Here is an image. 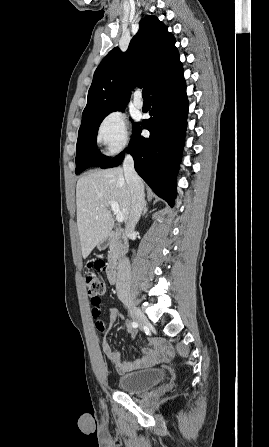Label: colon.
I'll list each match as a JSON object with an SVG mask.
<instances>
[{
  "label": "colon",
  "instance_id": "colon-1",
  "mask_svg": "<svg viewBox=\"0 0 269 447\" xmlns=\"http://www.w3.org/2000/svg\"><path fill=\"white\" fill-rule=\"evenodd\" d=\"M102 267H105V263L100 257H93L91 262L84 267L85 287L87 294L91 297L90 301L94 312L100 311L99 297L105 295L107 291L106 283L97 275ZM92 316L96 318L98 315L94 313ZM95 328L97 331H104L106 325L104 322H97Z\"/></svg>",
  "mask_w": 269,
  "mask_h": 447
}]
</instances>
